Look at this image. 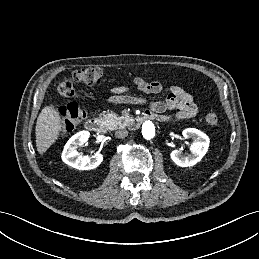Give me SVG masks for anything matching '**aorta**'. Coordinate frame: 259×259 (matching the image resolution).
Returning a JSON list of instances; mask_svg holds the SVG:
<instances>
[{"label": "aorta", "mask_w": 259, "mask_h": 259, "mask_svg": "<svg viewBox=\"0 0 259 259\" xmlns=\"http://www.w3.org/2000/svg\"><path fill=\"white\" fill-rule=\"evenodd\" d=\"M142 136L146 139V140H150L152 138H154L155 136V126L154 123L150 120H146L143 122L142 124Z\"/></svg>", "instance_id": "aorta-1"}]
</instances>
